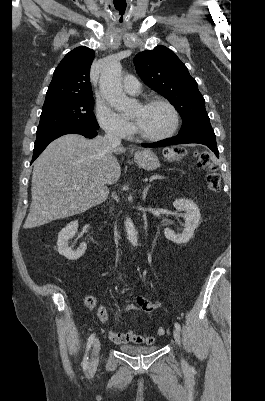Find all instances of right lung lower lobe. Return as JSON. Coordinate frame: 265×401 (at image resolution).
I'll list each match as a JSON object with an SVG mask.
<instances>
[{
	"mask_svg": "<svg viewBox=\"0 0 265 401\" xmlns=\"http://www.w3.org/2000/svg\"><path fill=\"white\" fill-rule=\"evenodd\" d=\"M65 134H81L86 138H94L97 136V130L78 127H57L37 134L31 163L43 152L50 142Z\"/></svg>",
	"mask_w": 265,
	"mask_h": 401,
	"instance_id": "right-lung-lower-lobe-1",
	"label": "right lung lower lobe"
}]
</instances>
